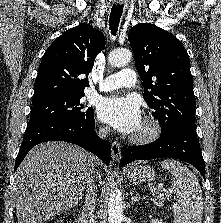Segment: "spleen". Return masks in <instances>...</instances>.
<instances>
[{
	"mask_svg": "<svg viewBox=\"0 0 221 223\" xmlns=\"http://www.w3.org/2000/svg\"><path fill=\"white\" fill-rule=\"evenodd\" d=\"M160 165L172 175L174 223H201L203 195L195 174L176 160H163Z\"/></svg>",
	"mask_w": 221,
	"mask_h": 223,
	"instance_id": "1",
	"label": "spleen"
}]
</instances>
